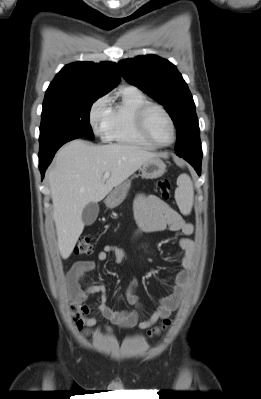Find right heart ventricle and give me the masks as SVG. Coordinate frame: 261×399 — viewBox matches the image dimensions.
<instances>
[{"mask_svg": "<svg viewBox=\"0 0 261 399\" xmlns=\"http://www.w3.org/2000/svg\"><path fill=\"white\" fill-rule=\"evenodd\" d=\"M147 97L135 87H125L119 92V100L110 105L109 128L106 139L121 144L153 148L137 132L135 113Z\"/></svg>", "mask_w": 261, "mask_h": 399, "instance_id": "e07e8e85", "label": "right heart ventricle"}]
</instances>
